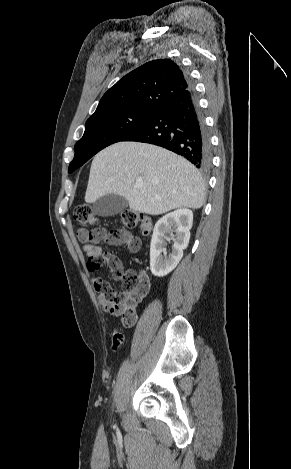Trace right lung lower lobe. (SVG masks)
<instances>
[{
    "label": "right lung lower lobe",
    "mask_w": 291,
    "mask_h": 469,
    "mask_svg": "<svg viewBox=\"0 0 291 469\" xmlns=\"http://www.w3.org/2000/svg\"><path fill=\"white\" fill-rule=\"evenodd\" d=\"M163 101L139 128L121 141L155 144L184 156L201 170L211 165V144L193 87Z\"/></svg>",
    "instance_id": "right-lung-lower-lobe-1"
}]
</instances>
